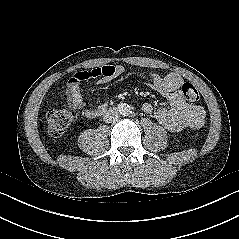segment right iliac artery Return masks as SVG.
<instances>
[{"label":"right iliac artery","instance_id":"82829eb1","mask_svg":"<svg viewBox=\"0 0 239 239\" xmlns=\"http://www.w3.org/2000/svg\"><path fill=\"white\" fill-rule=\"evenodd\" d=\"M123 107H124L123 104H119V105H118V108H119L120 110L123 109Z\"/></svg>","mask_w":239,"mask_h":239}]
</instances>
